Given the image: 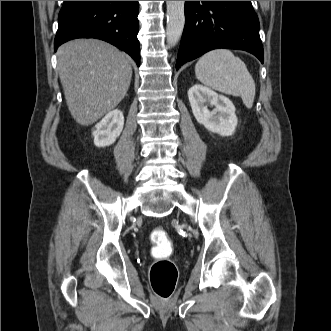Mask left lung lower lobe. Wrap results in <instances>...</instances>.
I'll return each instance as SVG.
<instances>
[{"label":"left lung lower lobe","mask_w":331,"mask_h":331,"mask_svg":"<svg viewBox=\"0 0 331 331\" xmlns=\"http://www.w3.org/2000/svg\"><path fill=\"white\" fill-rule=\"evenodd\" d=\"M185 15L176 70L217 48L245 50L263 63L259 20L251 1H185Z\"/></svg>","instance_id":"0a47b994"}]
</instances>
